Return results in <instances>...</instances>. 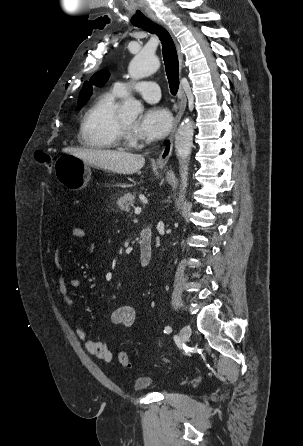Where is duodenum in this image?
<instances>
[{
	"label": "duodenum",
	"instance_id": "410a0bca",
	"mask_svg": "<svg viewBox=\"0 0 303 446\" xmlns=\"http://www.w3.org/2000/svg\"><path fill=\"white\" fill-rule=\"evenodd\" d=\"M138 243L140 265L145 268L150 264L153 255L152 234L150 230L144 229L141 231L138 237Z\"/></svg>",
	"mask_w": 303,
	"mask_h": 446
}]
</instances>
